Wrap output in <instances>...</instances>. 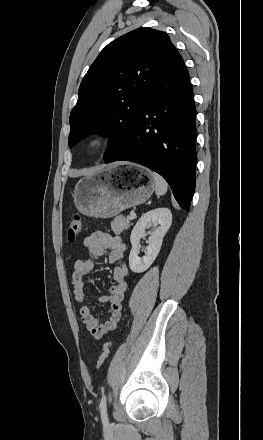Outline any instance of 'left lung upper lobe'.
I'll return each mask as SVG.
<instances>
[{
  "instance_id": "left-lung-upper-lobe-1",
  "label": "left lung upper lobe",
  "mask_w": 263,
  "mask_h": 440,
  "mask_svg": "<svg viewBox=\"0 0 263 440\" xmlns=\"http://www.w3.org/2000/svg\"><path fill=\"white\" fill-rule=\"evenodd\" d=\"M174 50L167 34L151 28L133 30L108 44L80 84L70 114L69 147L101 133L111 141L105 159L126 151L136 117Z\"/></svg>"
}]
</instances>
